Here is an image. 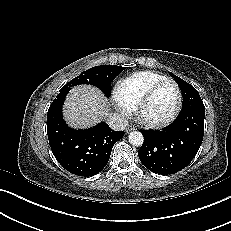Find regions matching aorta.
<instances>
[{
    "mask_svg": "<svg viewBox=\"0 0 231 231\" xmlns=\"http://www.w3.org/2000/svg\"><path fill=\"white\" fill-rule=\"evenodd\" d=\"M128 141L133 146H141L144 142L143 135L138 131H133L128 136Z\"/></svg>",
    "mask_w": 231,
    "mask_h": 231,
    "instance_id": "obj_1",
    "label": "aorta"
}]
</instances>
